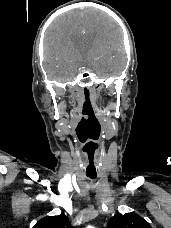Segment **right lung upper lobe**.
Here are the masks:
<instances>
[{"label": "right lung upper lobe", "instance_id": "1", "mask_svg": "<svg viewBox=\"0 0 171 228\" xmlns=\"http://www.w3.org/2000/svg\"><path fill=\"white\" fill-rule=\"evenodd\" d=\"M33 228H71L69 219L65 214L45 217L39 220Z\"/></svg>", "mask_w": 171, "mask_h": 228}]
</instances>
